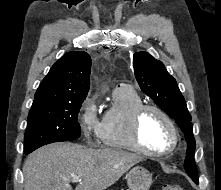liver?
<instances>
[{
    "label": "liver",
    "instance_id": "6515ba94",
    "mask_svg": "<svg viewBox=\"0 0 221 190\" xmlns=\"http://www.w3.org/2000/svg\"><path fill=\"white\" fill-rule=\"evenodd\" d=\"M141 161V156L123 150L53 143L27 157L23 165L24 189L73 190L70 183L78 176L82 181L75 190H105Z\"/></svg>",
    "mask_w": 221,
    "mask_h": 190
}]
</instances>
